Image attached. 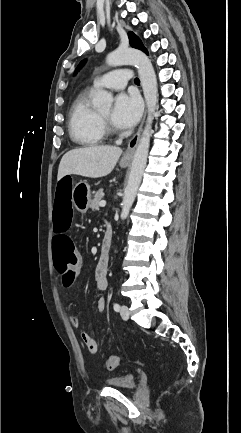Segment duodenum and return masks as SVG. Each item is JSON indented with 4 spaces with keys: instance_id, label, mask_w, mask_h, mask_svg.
I'll use <instances>...</instances> for the list:
<instances>
[{
    "instance_id": "1",
    "label": "duodenum",
    "mask_w": 241,
    "mask_h": 433,
    "mask_svg": "<svg viewBox=\"0 0 241 433\" xmlns=\"http://www.w3.org/2000/svg\"><path fill=\"white\" fill-rule=\"evenodd\" d=\"M112 228L109 223H106V231L103 236L102 245H101V256L107 258L111 244H112Z\"/></svg>"
}]
</instances>
